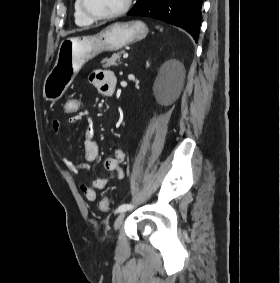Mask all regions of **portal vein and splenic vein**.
<instances>
[{"label":"portal vein and splenic vein","mask_w":280,"mask_h":283,"mask_svg":"<svg viewBox=\"0 0 280 283\" xmlns=\"http://www.w3.org/2000/svg\"><path fill=\"white\" fill-rule=\"evenodd\" d=\"M128 56H129L128 53H124V54H123V58H124V59L128 58Z\"/></svg>","instance_id":"obj_1"}]
</instances>
